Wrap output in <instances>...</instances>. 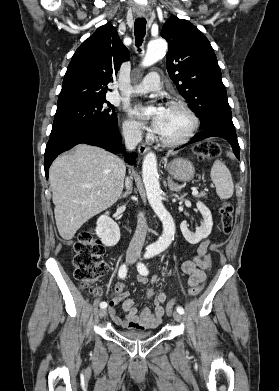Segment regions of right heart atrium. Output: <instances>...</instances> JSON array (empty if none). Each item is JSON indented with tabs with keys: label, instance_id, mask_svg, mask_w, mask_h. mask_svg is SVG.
Returning <instances> with one entry per match:
<instances>
[{
	"label": "right heart atrium",
	"instance_id": "d8ad5b80",
	"mask_svg": "<svg viewBox=\"0 0 279 391\" xmlns=\"http://www.w3.org/2000/svg\"><path fill=\"white\" fill-rule=\"evenodd\" d=\"M123 132L129 140H138L143 132L142 126L131 118L123 120Z\"/></svg>",
	"mask_w": 279,
	"mask_h": 391
}]
</instances>
